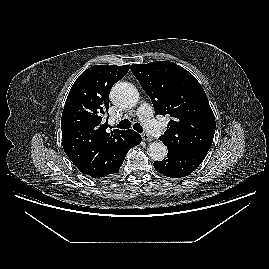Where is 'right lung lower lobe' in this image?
I'll return each instance as SVG.
<instances>
[{
    "label": "right lung lower lobe",
    "instance_id": "1",
    "mask_svg": "<svg viewBox=\"0 0 269 269\" xmlns=\"http://www.w3.org/2000/svg\"><path fill=\"white\" fill-rule=\"evenodd\" d=\"M140 142H141V136H140V134L134 132L133 130H127L125 132V137L123 139V142H122V145H121V149H120V152H121L120 162H119L118 166L116 167V169L114 171V174H116L117 172H119V168L122 165V163L124 161V158H125V155L129 151V149L131 147H134V146L140 144ZM113 175H111V176H113Z\"/></svg>",
    "mask_w": 269,
    "mask_h": 269
}]
</instances>
